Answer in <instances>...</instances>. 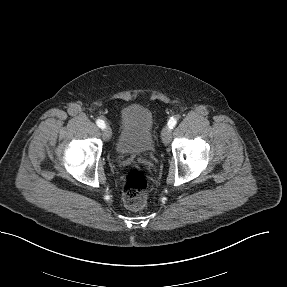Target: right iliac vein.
<instances>
[{
    "label": "right iliac vein",
    "mask_w": 287,
    "mask_h": 287,
    "mask_svg": "<svg viewBox=\"0 0 287 287\" xmlns=\"http://www.w3.org/2000/svg\"><path fill=\"white\" fill-rule=\"evenodd\" d=\"M102 135H103V139L108 141L111 138V136H112V132H111L110 127L106 126L103 129Z\"/></svg>",
    "instance_id": "right-iliac-vein-1"
}]
</instances>
